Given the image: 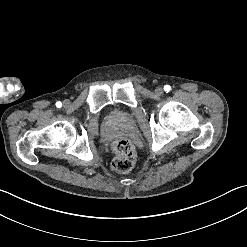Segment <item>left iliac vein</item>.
<instances>
[{
  "label": "left iliac vein",
  "mask_w": 247,
  "mask_h": 247,
  "mask_svg": "<svg viewBox=\"0 0 247 247\" xmlns=\"http://www.w3.org/2000/svg\"><path fill=\"white\" fill-rule=\"evenodd\" d=\"M163 92H164V91H163V88H162V87H157V88L155 89V94L158 95V96L162 95Z\"/></svg>",
  "instance_id": "1"
}]
</instances>
